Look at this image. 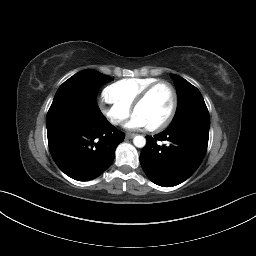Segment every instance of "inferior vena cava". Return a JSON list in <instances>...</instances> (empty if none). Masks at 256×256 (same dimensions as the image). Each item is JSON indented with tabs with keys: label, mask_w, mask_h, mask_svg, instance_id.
I'll return each mask as SVG.
<instances>
[{
	"label": "inferior vena cava",
	"mask_w": 256,
	"mask_h": 256,
	"mask_svg": "<svg viewBox=\"0 0 256 256\" xmlns=\"http://www.w3.org/2000/svg\"><path fill=\"white\" fill-rule=\"evenodd\" d=\"M120 121H115V123H119Z\"/></svg>",
	"instance_id": "1"
}]
</instances>
